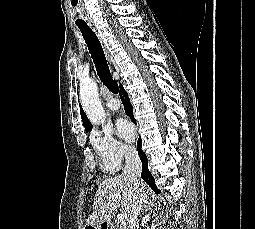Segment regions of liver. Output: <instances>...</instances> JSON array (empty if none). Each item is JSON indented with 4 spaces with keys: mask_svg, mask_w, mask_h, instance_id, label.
Here are the masks:
<instances>
[{
    "mask_svg": "<svg viewBox=\"0 0 255 229\" xmlns=\"http://www.w3.org/2000/svg\"><path fill=\"white\" fill-rule=\"evenodd\" d=\"M139 185L145 197L149 190L145 182L139 179ZM134 186L124 175L105 178L96 191L93 201V212L87 220V225L97 226L104 222L110 223L115 213L120 209L126 221L129 220L133 198ZM119 195L120 198L111 200L112 196Z\"/></svg>",
    "mask_w": 255,
    "mask_h": 229,
    "instance_id": "1",
    "label": "liver"
}]
</instances>
